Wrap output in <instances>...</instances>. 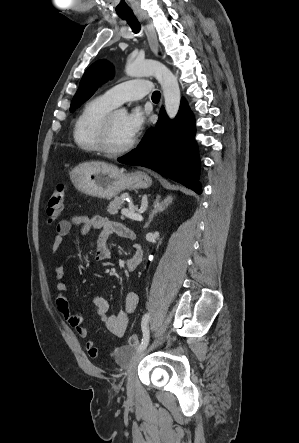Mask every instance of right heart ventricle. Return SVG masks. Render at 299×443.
<instances>
[{"mask_svg": "<svg viewBox=\"0 0 299 443\" xmlns=\"http://www.w3.org/2000/svg\"><path fill=\"white\" fill-rule=\"evenodd\" d=\"M115 106L104 95L95 97L85 104L73 127V140L80 150L89 153L101 152L99 147L101 124Z\"/></svg>", "mask_w": 299, "mask_h": 443, "instance_id": "right-heart-ventricle-1", "label": "right heart ventricle"}]
</instances>
